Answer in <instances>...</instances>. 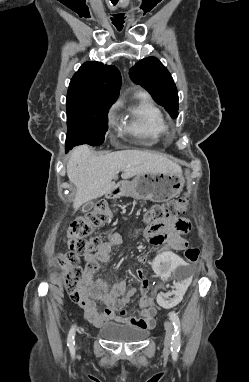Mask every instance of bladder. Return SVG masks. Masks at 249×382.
Returning a JSON list of instances; mask_svg holds the SVG:
<instances>
[{"label":"bladder","instance_id":"1","mask_svg":"<svg viewBox=\"0 0 249 382\" xmlns=\"http://www.w3.org/2000/svg\"><path fill=\"white\" fill-rule=\"evenodd\" d=\"M148 329L129 323L109 321L100 329L101 336L111 342L135 343L148 336Z\"/></svg>","mask_w":249,"mask_h":382}]
</instances>
